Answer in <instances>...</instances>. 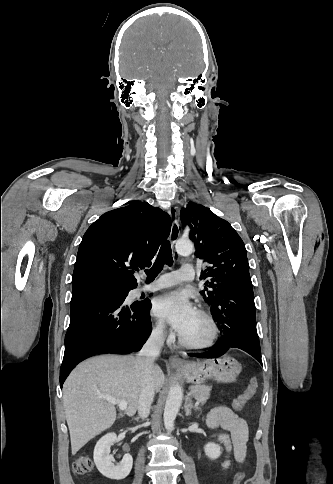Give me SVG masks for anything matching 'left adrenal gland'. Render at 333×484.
Instances as JSON below:
<instances>
[{
	"instance_id": "1",
	"label": "left adrenal gland",
	"mask_w": 333,
	"mask_h": 484,
	"mask_svg": "<svg viewBox=\"0 0 333 484\" xmlns=\"http://www.w3.org/2000/svg\"><path fill=\"white\" fill-rule=\"evenodd\" d=\"M184 407H185V415L186 416L191 415L192 409H194V410H199L200 409L199 407L193 406L192 401H191L190 398H187L186 399L185 406Z\"/></svg>"
}]
</instances>
